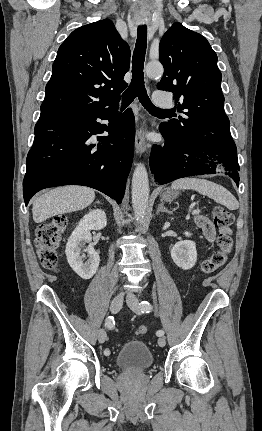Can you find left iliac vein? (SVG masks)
I'll list each match as a JSON object with an SVG mask.
<instances>
[{
    "instance_id": "left-iliac-vein-1",
    "label": "left iliac vein",
    "mask_w": 262,
    "mask_h": 431,
    "mask_svg": "<svg viewBox=\"0 0 262 431\" xmlns=\"http://www.w3.org/2000/svg\"><path fill=\"white\" fill-rule=\"evenodd\" d=\"M126 302L132 311H134L136 314H141L139 300L133 294H128ZM158 345L160 347H164L166 345V339L164 336L158 338Z\"/></svg>"
}]
</instances>
